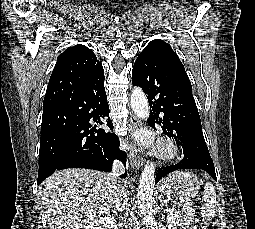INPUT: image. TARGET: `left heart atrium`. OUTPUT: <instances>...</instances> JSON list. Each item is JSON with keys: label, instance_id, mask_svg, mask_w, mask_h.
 <instances>
[{"label": "left heart atrium", "instance_id": "left-heart-atrium-1", "mask_svg": "<svg viewBox=\"0 0 255 229\" xmlns=\"http://www.w3.org/2000/svg\"><path fill=\"white\" fill-rule=\"evenodd\" d=\"M137 138L143 143H150L151 142V136L147 132L137 133Z\"/></svg>", "mask_w": 255, "mask_h": 229}]
</instances>
